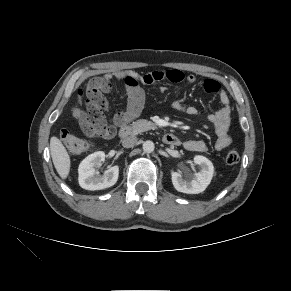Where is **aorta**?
I'll list each match as a JSON object with an SVG mask.
<instances>
[{"label":"aorta","instance_id":"762f6f07","mask_svg":"<svg viewBox=\"0 0 291 291\" xmlns=\"http://www.w3.org/2000/svg\"><path fill=\"white\" fill-rule=\"evenodd\" d=\"M155 145L152 141L147 140L143 143V150L145 153H151L154 151Z\"/></svg>","mask_w":291,"mask_h":291}]
</instances>
